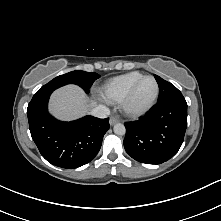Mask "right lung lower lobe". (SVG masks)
Instances as JSON below:
<instances>
[{
  "mask_svg": "<svg viewBox=\"0 0 221 221\" xmlns=\"http://www.w3.org/2000/svg\"><path fill=\"white\" fill-rule=\"evenodd\" d=\"M51 93L34 95L28 105L31 136L49 163L66 169L83 166L99 152L109 119L85 116L71 122L56 120L47 110Z\"/></svg>",
  "mask_w": 221,
  "mask_h": 221,
  "instance_id": "obj_1",
  "label": "right lung lower lobe"
}]
</instances>
